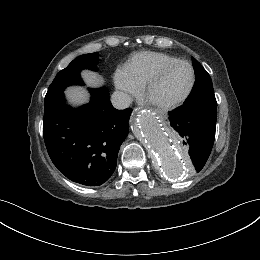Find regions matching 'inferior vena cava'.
I'll return each instance as SVG.
<instances>
[{
    "label": "inferior vena cava",
    "instance_id": "obj_1",
    "mask_svg": "<svg viewBox=\"0 0 260 260\" xmlns=\"http://www.w3.org/2000/svg\"><path fill=\"white\" fill-rule=\"evenodd\" d=\"M111 103L116 109H125L132 103V97L125 92L115 91L111 97Z\"/></svg>",
    "mask_w": 260,
    "mask_h": 260
}]
</instances>
